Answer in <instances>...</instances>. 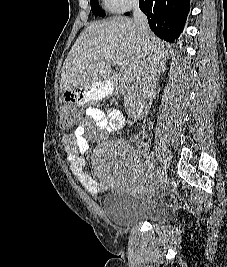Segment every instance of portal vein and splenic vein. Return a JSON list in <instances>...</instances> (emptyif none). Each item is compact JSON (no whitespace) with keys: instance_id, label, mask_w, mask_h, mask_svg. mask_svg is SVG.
<instances>
[{"instance_id":"portal-vein-and-splenic-vein-1","label":"portal vein and splenic vein","mask_w":227,"mask_h":267,"mask_svg":"<svg viewBox=\"0 0 227 267\" xmlns=\"http://www.w3.org/2000/svg\"><path fill=\"white\" fill-rule=\"evenodd\" d=\"M114 63L116 65H119L122 67V69L124 70L123 71V77H124V80L127 81V82H132L134 80V74L132 73L131 69H128L127 67L124 66V62L122 60H114Z\"/></svg>"}]
</instances>
